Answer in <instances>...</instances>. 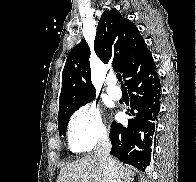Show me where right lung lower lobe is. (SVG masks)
<instances>
[{
	"label": "right lung lower lobe",
	"mask_w": 196,
	"mask_h": 182,
	"mask_svg": "<svg viewBox=\"0 0 196 182\" xmlns=\"http://www.w3.org/2000/svg\"><path fill=\"white\" fill-rule=\"evenodd\" d=\"M130 95L127 125H111V154L121 162L145 171L151 161L157 116L160 111L161 85L152 55L125 80ZM136 111V112H134Z\"/></svg>",
	"instance_id": "1"
}]
</instances>
